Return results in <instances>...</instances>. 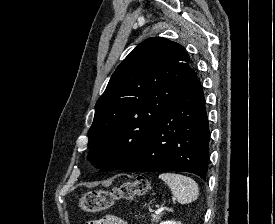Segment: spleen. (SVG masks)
I'll return each instance as SVG.
<instances>
[{
  "mask_svg": "<svg viewBox=\"0 0 275 224\" xmlns=\"http://www.w3.org/2000/svg\"><path fill=\"white\" fill-rule=\"evenodd\" d=\"M159 178L167 183L179 203L186 204L197 199L199 189L193 179L176 173H162Z\"/></svg>",
  "mask_w": 275,
  "mask_h": 224,
  "instance_id": "3e777b00",
  "label": "spleen"
}]
</instances>
